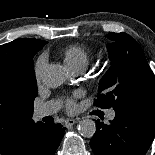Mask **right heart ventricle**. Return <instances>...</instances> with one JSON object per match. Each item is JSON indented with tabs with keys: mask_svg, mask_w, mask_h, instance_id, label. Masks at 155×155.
Returning <instances> with one entry per match:
<instances>
[{
	"mask_svg": "<svg viewBox=\"0 0 155 155\" xmlns=\"http://www.w3.org/2000/svg\"><path fill=\"white\" fill-rule=\"evenodd\" d=\"M89 50L82 45H71L64 51V61L73 70L88 65L90 61Z\"/></svg>",
	"mask_w": 155,
	"mask_h": 155,
	"instance_id": "e07e8e85",
	"label": "right heart ventricle"
}]
</instances>
